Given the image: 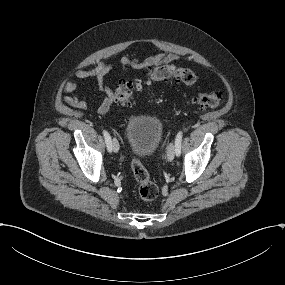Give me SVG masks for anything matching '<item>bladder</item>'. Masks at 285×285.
I'll list each match as a JSON object with an SVG mask.
<instances>
[{
    "mask_svg": "<svg viewBox=\"0 0 285 285\" xmlns=\"http://www.w3.org/2000/svg\"><path fill=\"white\" fill-rule=\"evenodd\" d=\"M124 132L130 152L139 157H150L162 137L159 118L151 115H133L125 121Z\"/></svg>",
    "mask_w": 285,
    "mask_h": 285,
    "instance_id": "1",
    "label": "bladder"
}]
</instances>
